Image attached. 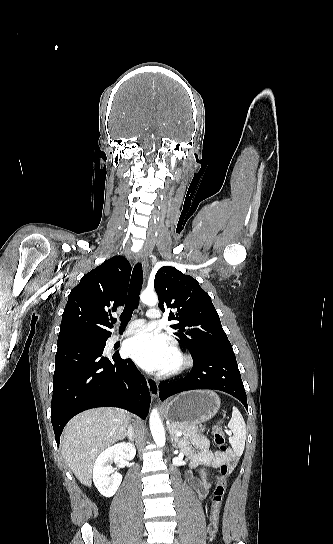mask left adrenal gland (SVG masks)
Returning a JSON list of instances; mask_svg holds the SVG:
<instances>
[{
    "label": "left adrenal gland",
    "instance_id": "obj_1",
    "mask_svg": "<svg viewBox=\"0 0 333 544\" xmlns=\"http://www.w3.org/2000/svg\"><path fill=\"white\" fill-rule=\"evenodd\" d=\"M170 439H171V442H172L173 446L177 447L176 443L178 441V437L174 433L170 432Z\"/></svg>",
    "mask_w": 333,
    "mask_h": 544
}]
</instances>
